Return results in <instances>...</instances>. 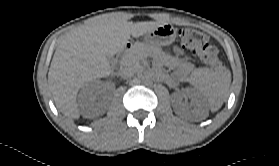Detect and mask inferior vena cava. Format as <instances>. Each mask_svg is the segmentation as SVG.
<instances>
[{
	"label": "inferior vena cava",
	"instance_id": "1",
	"mask_svg": "<svg viewBox=\"0 0 279 166\" xmlns=\"http://www.w3.org/2000/svg\"><path fill=\"white\" fill-rule=\"evenodd\" d=\"M136 74V70L133 68H124L120 71V76L123 79L131 78Z\"/></svg>",
	"mask_w": 279,
	"mask_h": 166
}]
</instances>
